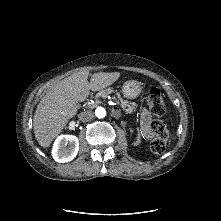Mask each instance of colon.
I'll list each match as a JSON object with an SVG mask.
<instances>
[{"label":"colon","instance_id":"1","mask_svg":"<svg viewBox=\"0 0 221 221\" xmlns=\"http://www.w3.org/2000/svg\"><path fill=\"white\" fill-rule=\"evenodd\" d=\"M146 104L149 111L154 116H162L166 112V104L161 92L157 88L149 90L146 96ZM150 129L155 137L151 142V150L155 154H160L164 151L168 140V130L165 123L160 119H154L150 123Z\"/></svg>","mask_w":221,"mask_h":221}]
</instances>
